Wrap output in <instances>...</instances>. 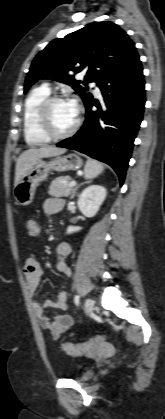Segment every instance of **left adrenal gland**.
Here are the masks:
<instances>
[{
	"label": "left adrenal gland",
	"instance_id": "left-adrenal-gland-1",
	"mask_svg": "<svg viewBox=\"0 0 165 419\" xmlns=\"http://www.w3.org/2000/svg\"><path fill=\"white\" fill-rule=\"evenodd\" d=\"M83 184H84V183H81V184L77 185V186L74 188V190H73V192H72V195H71V198H73V197L75 196V193H76L77 189H78L81 185H83Z\"/></svg>",
	"mask_w": 165,
	"mask_h": 419
}]
</instances>
